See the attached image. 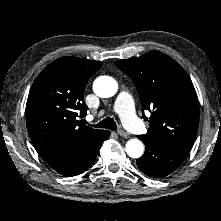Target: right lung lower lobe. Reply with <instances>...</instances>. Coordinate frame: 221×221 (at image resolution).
Returning <instances> with one entry per match:
<instances>
[{
    "mask_svg": "<svg viewBox=\"0 0 221 221\" xmlns=\"http://www.w3.org/2000/svg\"><path fill=\"white\" fill-rule=\"evenodd\" d=\"M109 135V131H103L83 141L61 143L38 151L58 173L76 176L92 165L101 144Z\"/></svg>",
    "mask_w": 221,
    "mask_h": 221,
    "instance_id": "right-lung-lower-lobe-1",
    "label": "right lung lower lobe"
}]
</instances>
